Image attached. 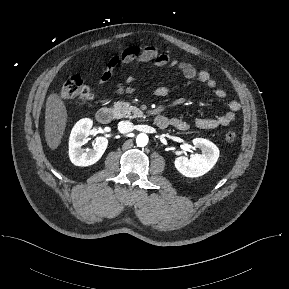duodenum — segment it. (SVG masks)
Returning a JSON list of instances; mask_svg holds the SVG:
<instances>
[{"label":"duodenum","mask_w":289,"mask_h":289,"mask_svg":"<svg viewBox=\"0 0 289 289\" xmlns=\"http://www.w3.org/2000/svg\"><path fill=\"white\" fill-rule=\"evenodd\" d=\"M114 117V111L109 107H102L96 113V119L101 124H108ZM154 123L161 129H165L170 125V119L164 115H156L153 119Z\"/></svg>","instance_id":"410a0bca"}]
</instances>
